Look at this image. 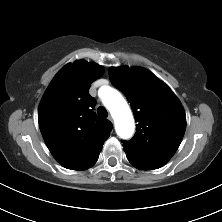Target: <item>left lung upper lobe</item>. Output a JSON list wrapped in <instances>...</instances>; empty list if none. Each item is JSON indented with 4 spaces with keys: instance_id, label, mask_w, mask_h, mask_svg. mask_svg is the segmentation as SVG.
Listing matches in <instances>:
<instances>
[{
    "instance_id": "obj_1",
    "label": "left lung upper lobe",
    "mask_w": 222,
    "mask_h": 222,
    "mask_svg": "<svg viewBox=\"0 0 222 222\" xmlns=\"http://www.w3.org/2000/svg\"><path fill=\"white\" fill-rule=\"evenodd\" d=\"M109 78L125 94L138 122L133 139L123 144L127 159L138 169L160 168L174 155L185 133L186 116L179 99L144 68L111 67Z\"/></svg>"
}]
</instances>
